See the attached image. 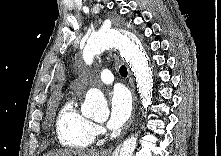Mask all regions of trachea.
I'll return each mask as SVG.
<instances>
[{
    "mask_svg": "<svg viewBox=\"0 0 221 156\" xmlns=\"http://www.w3.org/2000/svg\"><path fill=\"white\" fill-rule=\"evenodd\" d=\"M119 72H120L121 76H123V77L127 76V68L124 65H122L120 67Z\"/></svg>",
    "mask_w": 221,
    "mask_h": 156,
    "instance_id": "1",
    "label": "trachea"
}]
</instances>
